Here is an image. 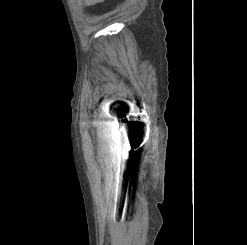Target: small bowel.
Returning <instances> with one entry per match:
<instances>
[{
  "mask_svg": "<svg viewBox=\"0 0 247 245\" xmlns=\"http://www.w3.org/2000/svg\"><path fill=\"white\" fill-rule=\"evenodd\" d=\"M85 6H92L103 2L104 0H81Z\"/></svg>",
  "mask_w": 247,
  "mask_h": 245,
  "instance_id": "c3829d8e",
  "label": "small bowel"
}]
</instances>
